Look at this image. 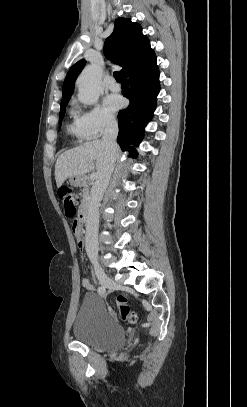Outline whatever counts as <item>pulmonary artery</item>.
Instances as JSON below:
<instances>
[{"label":"pulmonary artery","mask_w":247,"mask_h":407,"mask_svg":"<svg viewBox=\"0 0 247 407\" xmlns=\"http://www.w3.org/2000/svg\"><path fill=\"white\" fill-rule=\"evenodd\" d=\"M108 87L112 91H119L120 90V85L113 79L108 81Z\"/></svg>","instance_id":"e3ab8cb5"}]
</instances>
